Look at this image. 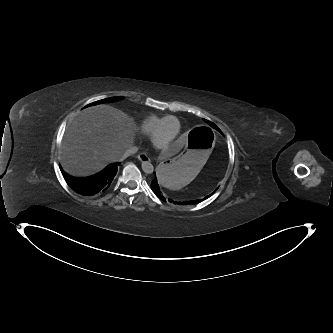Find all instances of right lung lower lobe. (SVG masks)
I'll return each mask as SVG.
<instances>
[{"label": "right lung lower lobe", "instance_id": "right-lung-lower-lobe-1", "mask_svg": "<svg viewBox=\"0 0 333 333\" xmlns=\"http://www.w3.org/2000/svg\"><path fill=\"white\" fill-rule=\"evenodd\" d=\"M116 173L117 165L115 163L108 165L101 172L85 178L72 177L62 171L63 177L71 189L83 196H93L106 192Z\"/></svg>", "mask_w": 333, "mask_h": 333}]
</instances>
